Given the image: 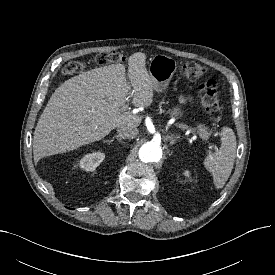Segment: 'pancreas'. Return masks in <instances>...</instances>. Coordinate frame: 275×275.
I'll list each match as a JSON object with an SVG mask.
<instances>
[{
	"mask_svg": "<svg viewBox=\"0 0 275 275\" xmlns=\"http://www.w3.org/2000/svg\"><path fill=\"white\" fill-rule=\"evenodd\" d=\"M198 133L205 140H207L210 136V133L202 126H199Z\"/></svg>",
	"mask_w": 275,
	"mask_h": 275,
	"instance_id": "cf45deb5",
	"label": "pancreas"
}]
</instances>
